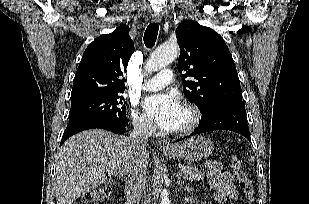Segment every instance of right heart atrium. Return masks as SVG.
Here are the masks:
<instances>
[{
    "label": "right heart atrium",
    "mask_w": 309,
    "mask_h": 204,
    "mask_svg": "<svg viewBox=\"0 0 309 204\" xmlns=\"http://www.w3.org/2000/svg\"><path fill=\"white\" fill-rule=\"evenodd\" d=\"M132 123L134 128L145 135H151L154 132V126L152 122L142 113H140L135 107L131 113Z\"/></svg>",
    "instance_id": "obj_1"
}]
</instances>
